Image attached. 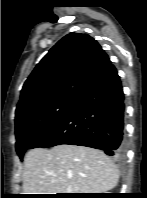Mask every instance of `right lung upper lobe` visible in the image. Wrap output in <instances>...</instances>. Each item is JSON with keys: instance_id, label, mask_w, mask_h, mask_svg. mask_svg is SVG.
<instances>
[{"instance_id": "right-lung-upper-lobe-1", "label": "right lung upper lobe", "mask_w": 147, "mask_h": 198, "mask_svg": "<svg viewBox=\"0 0 147 198\" xmlns=\"http://www.w3.org/2000/svg\"><path fill=\"white\" fill-rule=\"evenodd\" d=\"M108 55L87 34L63 37L38 63L21 90L18 119L28 111L56 100H76L111 66Z\"/></svg>"}]
</instances>
